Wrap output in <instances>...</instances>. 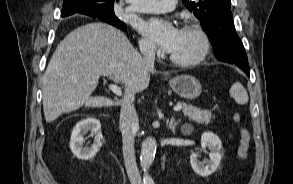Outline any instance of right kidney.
Masks as SVG:
<instances>
[{
	"label": "right kidney",
	"instance_id": "right-kidney-1",
	"mask_svg": "<svg viewBox=\"0 0 293 184\" xmlns=\"http://www.w3.org/2000/svg\"><path fill=\"white\" fill-rule=\"evenodd\" d=\"M91 131L95 134L94 143L91 148L83 147L84 135ZM103 135L101 133L100 121L95 118H87L80 121L73 128L70 138V149L74 156L83 161L92 159L102 146Z\"/></svg>",
	"mask_w": 293,
	"mask_h": 184
}]
</instances>
